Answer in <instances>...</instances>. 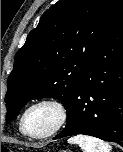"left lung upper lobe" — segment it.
Segmentation results:
<instances>
[{
    "label": "left lung upper lobe",
    "instance_id": "1",
    "mask_svg": "<svg viewBox=\"0 0 123 152\" xmlns=\"http://www.w3.org/2000/svg\"><path fill=\"white\" fill-rule=\"evenodd\" d=\"M121 5V0H59L42 15L8 78V123L35 98L52 97L67 107Z\"/></svg>",
    "mask_w": 123,
    "mask_h": 152
}]
</instances>
